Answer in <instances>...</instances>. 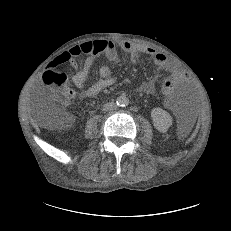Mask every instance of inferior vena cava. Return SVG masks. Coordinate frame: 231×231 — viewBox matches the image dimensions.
Returning <instances> with one entry per match:
<instances>
[{
  "instance_id": "obj_1",
  "label": "inferior vena cava",
  "mask_w": 231,
  "mask_h": 231,
  "mask_svg": "<svg viewBox=\"0 0 231 231\" xmlns=\"http://www.w3.org/2000/svg\"><path fill=\"white\" fill-rule=\"evenodd\" d=\"M116 109V105L113 102L104 104L103 111H113Z\"/></svg>"
}]
</instances>
